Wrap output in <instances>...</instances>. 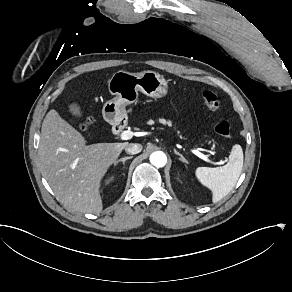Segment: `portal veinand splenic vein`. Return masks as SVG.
I'll return each instance as SVG.
<instances>
[{"mask_svg": "<svg viewBox=\"0 0 292 292\" xmlns=\"http://www.w3.org/2000/svg\"><path fill=\"white\" fill-rule=\"evenodd\" d=\"M133 135H134V133L132 131H130V130L123 131L121 133V139L122 140H129V139H131L133 137ZM192 152L196 156H198L199 158L203 159L204 161L210 162V160L207 158V156L204 155V154H201L198 150H192ZM215 164H221V162H217Z\"/></svg>", "mask_w": 292, "mask_h": 292, "instance_id": "18ae733b", "label": "portal vein and splenic vein"}]
</instances>
